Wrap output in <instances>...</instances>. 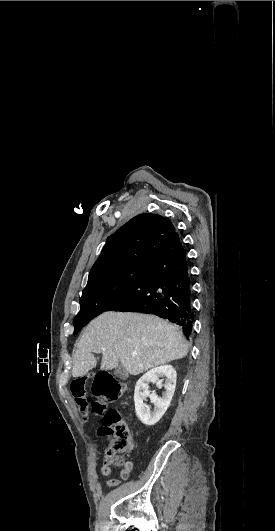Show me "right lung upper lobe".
<instances>
[{"instance_id":"cb5924a9","label":"right lung upper lobe","mask_w":275,"mask_h":531,"mask_svg":"<svg viewBox=\"0 0 275 531\" xmlns=\"http://www.w3.org/2000/svg\"><path fill=\"white\" fill-rule=\"evenodd\" d=\"M175 233L173 224L160 215H137L107 238L88 282L119 269L147 265Z\"/></svg>"}]
</instances>
